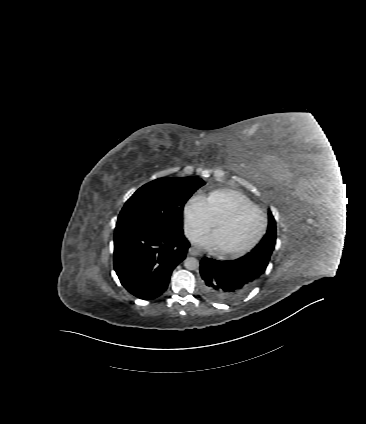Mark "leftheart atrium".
<instances>
[{"mask_svg":"<svg viewBox=\"0 0 366 424\" xmlns=\"http://www.w3.org/2000/svg\"><path fill=\"white\" fill-rule=\"evenodd\" d=\"M195 243L202 245V246H205V247L215 249V250H217L219 248L218 244L216 242V239L213 235L203 237V238H199V239L195 240Z\"/></svg>","mask_w":366,"mask_h":424,"instance_id":"obj_1","label":"left heart atrium"}]
</instances>
